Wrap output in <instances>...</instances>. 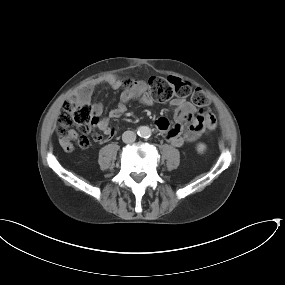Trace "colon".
<instances>
[{
    "label": "colon",
    "instance_id": "obj_1",
    "mask_svg": "<svg viewBox=\"0 0 285 285\" xmlns=\"http://www.w3.org/2000/svg\"><path fill=\"white\" fill-rule=\"evenodd\" d=\"M122 85L126 89H130L134 83L131 79H125L122 81ZM148 91L153 99L159 102H166L175 97L189 96L197 107L205 108L209 105V99L202 90H193L190 82L176 77H153L148 82ZM215 124V119L210 118L206 120L205 126L208 130H212ZM96 125L97 121L91 114L87 100H66L59 115L57 133L64 144H68L72 128H77L84 139L91 135L95 141L104 140L105 133H102Z\"/></svg>",
    "mask_w": 285,
    "mask_h": 285
}]
</instances>
